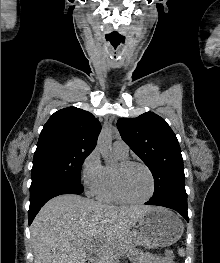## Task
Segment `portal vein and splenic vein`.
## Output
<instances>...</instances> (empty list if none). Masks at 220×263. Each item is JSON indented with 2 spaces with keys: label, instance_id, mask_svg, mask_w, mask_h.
<instances>
[{
  "label": "portal vein and splenic vein",
  "instance_id": "portal-vein-and-splenic-vein-1",
  "mask_svg": "<svg viewBox=\"0 0 220 263\" xmlns=\"http://www.w3.org/2000/svg\"><path fill=\"white\" fill-rule=\"evenodd\" d=\"M86 248H87L90 252L96 251L95 242H94L93 244L90 243Z\"/></svg>",
  "mask_w": 220,
  "mask_h": 263
}]
</instances>
